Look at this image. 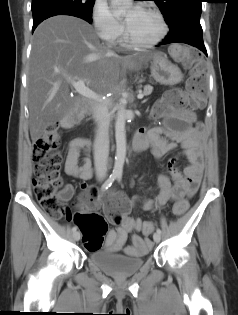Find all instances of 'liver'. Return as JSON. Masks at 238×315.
I'll return each instance as SVG.
<instances>
[{
    "label": "liver",
    "mask_w": 238,
    "mask_h": 315,
    "mask_svg": "<svg viewBox=\"0 0 238 315\" xmlns=\"http://www.w3.org/2000/svg\"><path fill=\"white\" fill-rule=\"evenodd\" d=\"M161 53L121 57L100 43L93 27L68 15L43 21L33 35L27 78L30 136L38 141L56 122H74L90 108V101L71 97V81H84L99 94L116 90L130 62L147 64Z\"/></svg>",
    "instance_id": "1"
}]
</instances>
